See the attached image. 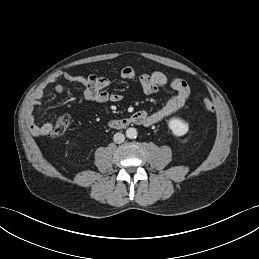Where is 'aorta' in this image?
Masks as SVG:
<instances>
[{
	"instance_id": "obj_1",
	"label": "aorta",
	"mask_w": 259,
	"mask_h": 259,
	"mask_svg": "<svg viewBox=\"0 0 259 259\" xmlns=\"http://www.w3.org/2000/svg\"><path fill=\"white\" fill-rule=\"evenodd\" d=\"M126 137L129 138V139H134L137 137V130L135 128H128L126 130Z\"/></svg>"
}]
</instances>
